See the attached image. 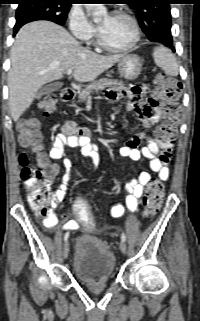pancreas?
<instances>
[{"instance_id": "cf45deb5", "label": "pancreas", "mask_w": 200, "mask_h": 321, "mask_svg": "<svg viewBox=\"0 0 200 321\" xmlns=\"http://www.w3.org/2000/svg\"><path fill=\"white\" fill-rule=\"evenodd\" d=\"M123 82L119 81L117 79H108V78H102L100 80L94 81L87 85L84 89H82L78 93V99L79 102H85L89 95L93 92H98L101 89H104L105 87H122Z\"/></svg>"}]
</instances>
